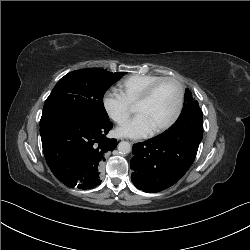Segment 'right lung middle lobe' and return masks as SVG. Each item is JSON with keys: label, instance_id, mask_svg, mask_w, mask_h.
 Listing matches in <instances>:
<instances>
[{"label": "right lung middle lobe", "instance_id": "right-lung-middle-lobe-1", "mask_svg": "<svg viewBox=\"0 0 250 250\" xmlns=\"http://www.w3.org/2000/svg\"><path fill=\"white\" fill-rule=\"evenodd\" d=\"M125 72L81 69L62 77L47 98L40 126L60 119L109 120L103 104L106 90Z\"/></svg>", "mask_w": 250, "mask_h": 250}]
</instances>
